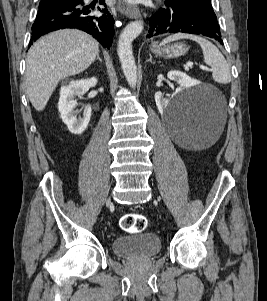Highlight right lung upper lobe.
<instances>
[{"label":"right lung upper lobe","mask_w":267,"mask_h":301,"mask_svg":"<svg viewBox=\"0 0 267 301\" xmlns=\"http://www.w3.org/2000/svg\"><path fill=\"white\" fill-rule=\"evenodd\" d=\"M55 1H66V0H55Z\"/></svg>","instance_id":"1"}]
</instances>
